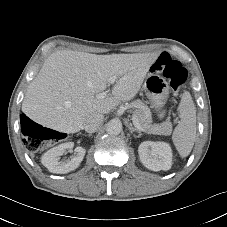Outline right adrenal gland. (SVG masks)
Returning <instances> with one entry per match:
<instances>
[{"label": "right adrenal gland", "mask_w": 227, "mask_h": 227, "mask_svg": "<svg viewBox=\"0 0 227 227\" xmlns=\"http://www.w3.org/2000/svg\"><path fill=\"white\" fill-rule=\"evenodd\" d=\"M85 136L91 137V136H92V134H88V135H85Z\"/></svg>", "instance_id": "1"}]
</instances>
